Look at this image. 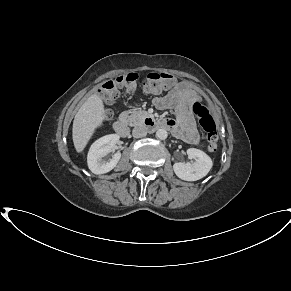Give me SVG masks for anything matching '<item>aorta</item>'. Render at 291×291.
<instances>
[{"instance_id": "aorta-1", "label": "aorta", "mask_w": 291, "mask_h": 291, "mask_svg": "<svg viewBox=\"0 0 291 291\" xmlns=\"http://www.w3.org/2000/svg\"><path fill=\"white\" fill-rule=\"evenodd\" d=\"M168 136V133L165 129H158L156 132V137L160 140H165Z\"/></svg>"}]
</instances>
